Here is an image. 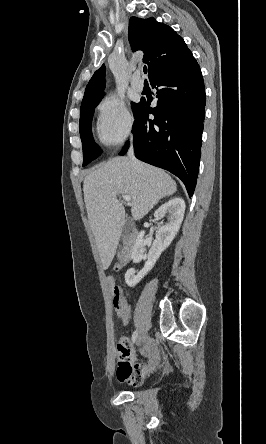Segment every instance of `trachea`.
I'll return each instance as SVG.
<instances>
[{
  "label": "trachea",
  "mask_w": 266,
  "mask_h": 444,
  "mask_svg": "<svg viewBox=\"0 0 266 444\" xmlns=\"http://www.w3.org/2000/svg\"><path fill=\"white\" fill-rule=\"evenodd\" d=\"M143 72H144V74L147 73V67L146 66L143 67Z\"/></svg>",
  "instance_id": "trachea-1"
}]
</instances>
